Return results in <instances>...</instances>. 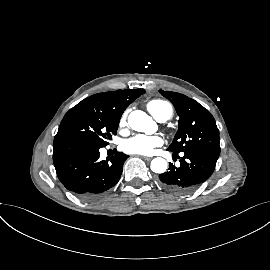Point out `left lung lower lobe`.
Returning a JSON list of instances; mask_svg holds the SVG:
<instances>
[{
	"instance_id": "obj_1",
	"label": "left lung lower lobe",
	"mask_w": 270,
	"mask_h": 270,
	"mask_svg": "<svg viewBox=\"0 0 270 270\" xmlns=\"http://www.w3.org/2000/svg\"><path fill=\"white\" fill-rule=\"evenodd\" d=\"M217 159L218 157L203 152L186 151L180 158L179 167L169 163V170L159 175L160 184L174 193H189L212 175Z\"/></svg>"
}]
</instances>
